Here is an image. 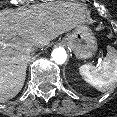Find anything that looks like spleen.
Returning a JSON list of instances; mask_svg holds the SVG:
<instances>
[{
  "label": "spleen",
  "mask_w": 117,
  "mask_h": 117,
  "mask_svg": "<svg viewBox=\"0 0 117 117\" xmlns=\"http://www.w3.org/2000/svg\"><path fill=\"white\" fill-rule=\"evenodd\" d=\"M79 71L83 79L99 91L109 90L117 82V51L108 47L101 65L95 67L84 64L80 66Z\"/></svg>",
  "instance_id": "obj_1"
}]
</instances>
